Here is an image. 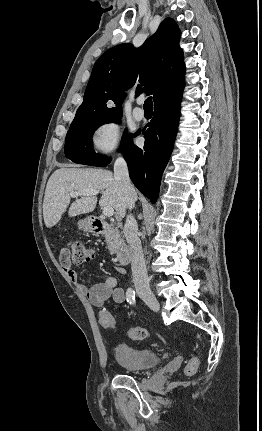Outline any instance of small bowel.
<instances>
[{"instance_id":"obj_1","label":"small bowel","mask_w":262,"mask_h":431,"mask_svg":"<svg viewBox=\"0 0 262 431\" xmlns=\"http://www.w3.org/2000/svg\"><path fill=\"white\" fill-rule=\"evenodd\" d=\"M62 269L67 275L68 279L78 285L80 289L86 293L89 302L100 309H103L105 303L112 298L116 304H123L127 300V291L123 288L117 287V278L109 277L102 282L93 285L90 288H86L85 284L81 281L77 271L68 262L61 261ZM119 274H125L126 271L123 267H117Z\"/></svg>"}]
</instances>
